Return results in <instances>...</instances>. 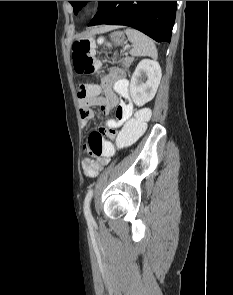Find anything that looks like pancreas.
Instances as JSON below:
<instances>
[{
    "mask_svg": "<svg viewBox=\"0 0 233 295\" xmlns=\"http://www.w3.org/2000/svg\"><path fill=\"white\" fill-rule=\"evenodd\" d=\"M133 60H134L133 57H127V58H125L124 59V62H123L124 66L126 68H128L131 65V63L133 62Z\"/></svg>",
    "mask_w": 233,
    "mask_h": 295,
    "instance_id": "1",
    "label": "pancreas"
}]
</instances>
